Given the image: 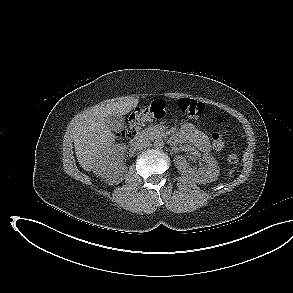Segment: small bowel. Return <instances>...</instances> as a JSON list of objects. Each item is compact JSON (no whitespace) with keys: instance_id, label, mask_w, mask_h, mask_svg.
<instances>
[{"instance_id":"obj_1","label":"small bowel","mask_w":293,"mask_h":293,"mask_svg":"<svg viewBox=\"0 0 293 293\" xmlns=\"http://www.w3.org/2000/svg\"><path fill=\"white\" fill-rule=\"evenodd\" d=\"M179 140H187L203 152L209 151L211 145L208 136L190 123H184L177 135Z\"/></svg>"}]
</instances>
